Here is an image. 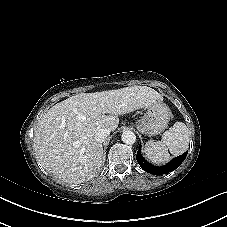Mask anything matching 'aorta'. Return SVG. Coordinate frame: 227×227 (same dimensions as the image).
<instances>
[{"instance_id":"1","label":"aorta","mask_w":227,"mask_h":227,"mask_svg":"<svg viewBox=\"0 0 227 227\" xmlns=\"http://www.w3.org/2000/svg\"><path fill=\"white\" fill-rule=\"evenodd\" d=\"M121 139H122L123 143H125L127 145H132L136 141V135L132 131H124L122 133Z\"/></svg>"}]
</instances>
